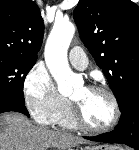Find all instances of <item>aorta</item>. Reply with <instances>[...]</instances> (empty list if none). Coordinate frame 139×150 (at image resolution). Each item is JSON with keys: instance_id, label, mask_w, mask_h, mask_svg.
Here are the masks:
<instances>
[{"instance_id": "aorta-1", "label": "aorta", "mask_w": 139, "mask_h": 150, "mask_svg": "<svg viewBox=\"0 0 139 150\" xmlns=\"http://www.w3.org/2000/svg\"><path fill=\"white\" fill-rule=\"evenodd\" d=\"M74 33L75 26L71 22L55 21L45 46L47 67L58 84V91L64 96L71 95L76 84L67 60V51Z\"/></svg>"}]
</instances>
